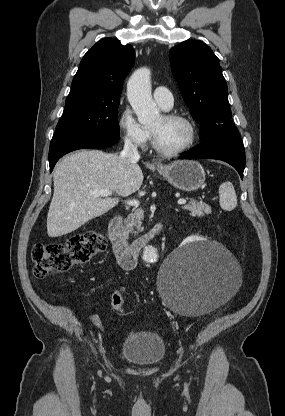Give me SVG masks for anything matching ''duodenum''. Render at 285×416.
I'll return each mask as SVG.
<instances>
[{"instance_id": "410a0bca", "label": "duodenum", "mask_w": 285, "mask_h": 416, "mask_svg": "<svg viewBox=\"0 0 285 416\" xmlns=\"http://www.w3.org/2000/svg\"><path fill=\"white\" fill-rule=\"evenodd\" d=\"M164 229L165 224L159 223L146 236L130 243L124 235L121 217L114 215L108 224V236L119 266L124 270L134 269L137 266L143 247L151 239L158 237Z\"/></svg>"}]
</instances>
